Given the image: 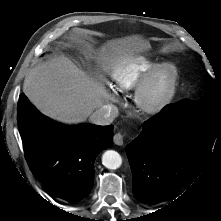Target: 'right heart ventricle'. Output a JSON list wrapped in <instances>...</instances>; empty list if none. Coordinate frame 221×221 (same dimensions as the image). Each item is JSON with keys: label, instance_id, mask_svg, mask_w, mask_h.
I'll list each match as a JSON object with an SVG mask.
<instances>
[{"label": "right heart ventricle", "instance_id": "e07e8e85", "mask_svg": "<svg viewBox=\"0 0 221 221\" xmlns=\"http://www.w3.org/2000/svg\"><path fill=\"white\" fill-rule=\"evenodd\" d=\"M155 63L143 57L124 61L114 67L111 73L114 86L119 91H127L137 87Z\"/></svg>", "mask_w": 221, "mask_h": 221}]
</instances>
